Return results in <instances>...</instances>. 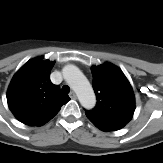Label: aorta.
Returning a JSON list of instances; mask_svg holds the SVG:
<instances>
[{
    "label": "aorta",
    "instance_id": "762f6f07",
    "mask_svg": "<svg viewBox=\"0 0 163 163\" xmlns=\"http://www.w3.org/2000/svg\"><path fill=\"white\" fill-rule=\"evenodd\" d=\"M63 77L76 92L79 102L86 109H92L96 104V97L90 82L74 65H67L62 70Z\"/></svg>",
    "mask_w": 163,
    "mask_h": 163
}]
</instances>
